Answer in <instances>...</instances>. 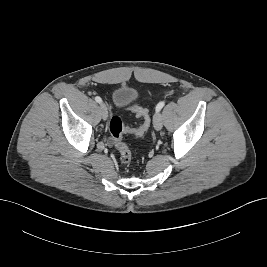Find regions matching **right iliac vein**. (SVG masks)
<instances>
[{"label": "right iliac vein", "mask_w": 267, "mask_h": 267, "mask_svg": "<svg viewBox=\"0 0 267 267\" xmlns=\"http://www.w3.org/2000/svg\"><path fill=\"white\" fill-rule=\"evenodd\" d=\"M100 114H101V117L106 120L107 117H108V109H107V106L105 103H101L100 104Z\"/></svg>", "instance_id": "right-iliac-vein-1"}]
</instances>
